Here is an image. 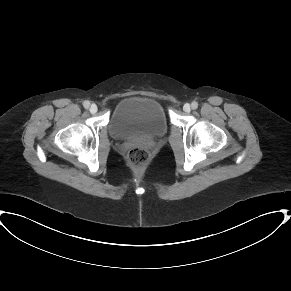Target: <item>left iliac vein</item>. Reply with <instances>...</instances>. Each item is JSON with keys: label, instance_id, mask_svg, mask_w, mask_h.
<instances>
[{"label": "left iliac vein", "instance_id": "obj_1", "mask_svg": "<svg viewBox=\"0 0 291 291\" xmlns=\"http://www.w3.org/2000/svg\"><path fill=\"white\" fill-rule=\"evenodd\" d=\"M183 110H184L186 113L190 112V110H191L190 105H189L188 103L184 104V106H183Z\"/></svg>", "mask_w": 291, "mask_h": 291}]
</instances>
